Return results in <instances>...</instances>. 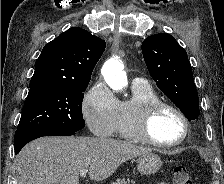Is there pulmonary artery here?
I'll use <instances>...</instances> for the list:
<instances>
[{
    "mask_svg": "<svg viewBox=\"0 0 224 184\" xmlns=\"http://www.w3.org/2000/svg\"><path fill=\"white\" fill-rule=\"evenodd\" d=\"M133 82L138 85H145V80L141 77L134 78Z\"/></svg>",
    "mask_w": 224,
    "mask_h": 184,
    "instance_id": "e3ab8cb5",
    "label": "pulmonary artery"
}]
</instances>
